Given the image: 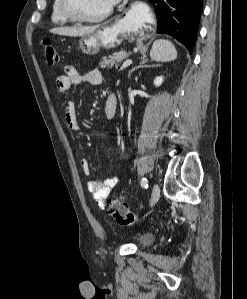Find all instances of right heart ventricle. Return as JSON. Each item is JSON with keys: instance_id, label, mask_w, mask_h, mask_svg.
<instances>
[{"instance_id": "1", "label": "right heart ventricle", "mask_w": 247, "mask_h": 299, "mask_svg": "<svg viewBox=\"0 0 247 299\" xmlns=\"http://www.w3.org/2000/svg\"><path fill=\"white\" fill-rule=\"evenodd\" d=\"M51 21L53 24L56 25H65L70 22V20L63 15L60 9V0H53L51 10Z\"/></svg>"}]
</instances>
